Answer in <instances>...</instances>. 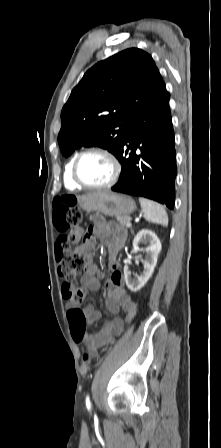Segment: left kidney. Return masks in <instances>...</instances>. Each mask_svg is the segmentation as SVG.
Listing matches in <instances>:
<instances>
[{
  "mask_svg": "<svg viewBox=\"0 0 221 448\" xmlns=\"http://www.w3.org/2000/svg\"><path fill=\"white\" fill-rule=\"evenodd\" d=\"M145 242H148L149 245L145 249L147 258L143 261V273L137 279H132L129 267L127 265H125L124 267L126 285L132 292H137L147 283L152 273L154 272L155 266L157 264L158 254L161 251L162 246L157 235L150 230L142 229L135 236L133 240V247L136 248L139 243Z\"/></svg>",
  "mask_w": 221,
  "mask_h": 448,
  "instance_id": "5707ae66",
  "label": "left kidney"
}]
</instances>
